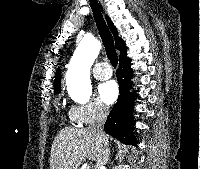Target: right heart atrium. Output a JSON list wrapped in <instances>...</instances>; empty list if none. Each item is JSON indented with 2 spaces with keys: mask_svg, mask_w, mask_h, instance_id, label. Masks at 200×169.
<instances>
[{
  "mask_svg": "<svg viewBox=\"0 0 200 169\" xmlns=\"http://www.w3.org/2000/svg\"><path fill=\"white\" fill-rule=\"evenodd\" d=\"M108 113V107L98 99H91L84 104L73 105L70 108L71 118L81 126L91 125L103 120Z\"/></svg>",
  "mask_w": 200,
  "mask_h": 169,
  "instance_id": "right-heart-atrium-1",
  "label": "right heart atrium"
}]
</instances>
